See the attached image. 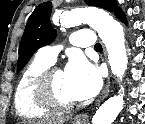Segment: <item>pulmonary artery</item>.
<instances>
[{"label": "pulmonary artery", "instance_id": "pulmonary-artery-1", "mask_svg": "<svg viewBox=\"0 0 145 124\" xmlns=\"http://www.w3.org/2000/svg\"><path fill=\"white\" fill-rule=\"evenodd\" d=\"M70 43L76 47H94L95 39L91 29H81L74 32L70 38ZM60 46H45L38 50L37 55L51 64L55 62L60 51Z\"/></svg>", "mask_w": 145, "mask_h": 124}]
</instances>
